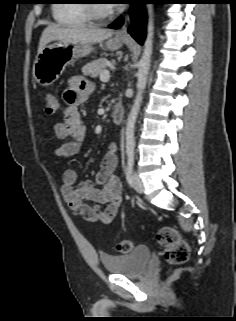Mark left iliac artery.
Wrapping results in <instances>:
<instances>
[{
    "label": "left iliac artery",
    "mask_w": 236,
    "mask_h": 321,
    "mask_svg": "<svg viewBox=\"0 0 236 321\" xmlns=\"http://www.w3.org/2000/svg\"><path fill=\"white\" fill-rule=\"evenodd\" d=\"M134 152L129 151L127 152V167H126V180L129 185L132 186V177H133V165H134Z\"/></svg>",
    "instance_id": "obj_1"
}]
</instances>
